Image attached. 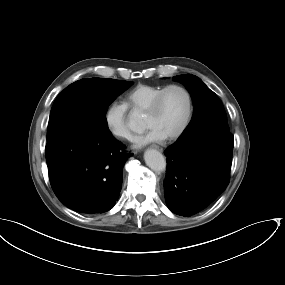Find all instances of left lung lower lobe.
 <instances>
[{"label":"left lung lower lobe","instance_id":"obj_1","mask_svg":"<svg viewBox=\"0 0 285 285\" xmlns=\"http://www.w3.org/2000/svg\"><path fill=\"white\" fill-rule=\"evenodd\" d=\"M234 139L226 131H202L177 140L164 152L168 208L189 217L209 206L227 187Z\"/></svg>","mask_w":285,"mask_h":285}]
</instances>
